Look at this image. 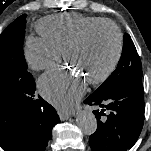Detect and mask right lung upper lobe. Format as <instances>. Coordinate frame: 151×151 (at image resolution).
<instances>
[{
	"mask_svg": "<svg viewBox=\"0 0 151 151\" xmlns=\"http://www.w3.org/2000/svg\"><path fill=\"white\" fill-rule=\"evenodd\" d=\"M21 111L19 107L0 102V146L5 151L18 148Z\"/></svg>",
	"mask_w": 151,
	"mask_h": 151,
	"instance_id": "right-lung-upper-lobe-1",
	"label": "right lung upper lobe"
}]
</instances>
